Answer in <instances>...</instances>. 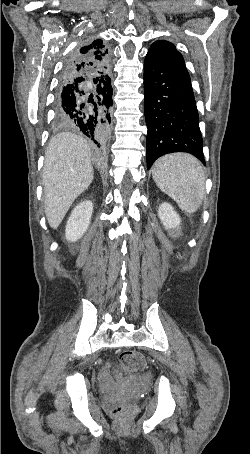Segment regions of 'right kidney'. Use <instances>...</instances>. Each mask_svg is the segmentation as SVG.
Segmentation results:
<instances>
[{
  "mask_svg": "<svg viewBox=\"0 0 250 454\" xmlns=\"http://www.w3.org/2000/svg\"><path fill=\"white\" fill-rule=\"evenodd\" d=\"M93 212V204L86 200L79 203L71 212L67 221L65 236L70 242H76L87 231Z\"/></svg>",
  "mask_w": 250,
  "mask_h": 454,
  "instance_id": "1",
  "label": "right kidney"
}]
</instances>
